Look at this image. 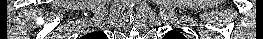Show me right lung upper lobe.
Wrapping results in <instances>:
<instances>
[{
	"instance_id": "obj_1",
	"label": "right lung upper lobe",
	"mask_w": 263,
	"mask_h": 39,
	"mask_svg": "<svg viewBox=\"0 0 263 39\" xmlns=\"http://www.w3.org/2000/svg\"><path fill=\"white\" fill-rule=\"evenodd\" d=\"M105 34L103 32H92L83 37V39H104Z\"/></svg>"
}]
</instances>
